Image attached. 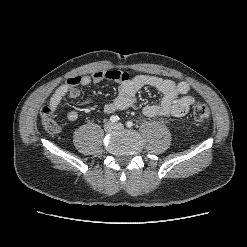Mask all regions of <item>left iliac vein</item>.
<instances>
[{"label": "left iliac vein", "instance_id": "left-iliac-vein-1", "mask_svg": "<svg viewBox=\"0 0 247 247\" xmlns=\"http://www.w3.org/2000/svg\"><path fill=\"white\" fill-rule=\"evenodd\" d=\"M124 127V125L122 123H116L114 124V128L115 129H122Z\"/></svg>", "mask_w": 247, "mask_h": 247}]
</instances>
